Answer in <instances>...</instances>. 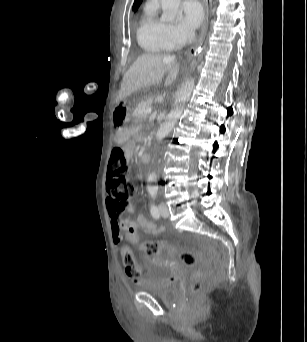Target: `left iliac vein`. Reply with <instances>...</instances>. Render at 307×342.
<instances>
[{"instance_id":"4c4485c4","label":"left iliac vein","mask_w":307,"mask_h":342,"mask_svg":"<svg viewBox=\"0 0 307 342\" xmlns=\"http://www.w3.org/2000/svg\"><path fill=\"white\" fill-rule=\"evenodd\" d=\"M159 210H160L161 216H163V217H165V218L169 216V210H168V208H167L166 205L161 204V205L159 206Z\"/></svg>"}]
</instances>
